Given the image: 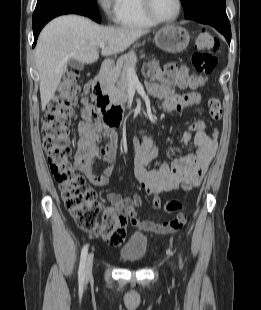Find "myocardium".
Wrapping results in <instances>:
<instances>
[{
  "mask_svg": "<svg viewBox=\"0 0 261 310\" xmlns=\"http://www.w3.org/2000/svg\"><path fill=\"white\" fill-rule=\"evenodd\" d=\"M141 4H142V8L143 11L145 13V15L151 20L153 21L155 24H169V23H173L174 21H176L181 12H182V8H183V3L182 0H177V12L176 14L168 19H161L159 17H157L153 10H152V2L151 0H141Z\"/></svg>",
  "mask_w": 261,
  "mask_h": 310,
  "instance_id": "f54148a6",
  "label": "myocardium"
}]
</instances>
